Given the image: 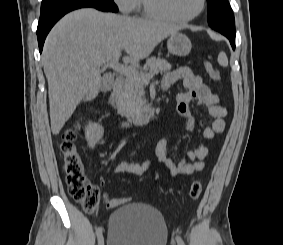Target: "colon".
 <instances>
[{
    "mask_svg": "<svg viewBox=\"0 0 283 245\" xmlns=\"http://www.w3.org/2000/svg\"><path fill=\"white\" fill-rule=\"evenodd\" d=\"M204 65L208 76L213 81L221 79L220 72L211 63L205 62ZM76 140V129H68L64 132L60 145L62 168L68 192L72 199L79 203L86 212H92L99 203V191L85 176L84 164L82 156L78 151ZM202 190L201 182L193 181L189 188L190 198L197 200L201 196ZM103 202L107 208L113 209L123 205L125 200L105 195Z\"/></svg>",
    "mask_w": 283,
    "mask_h": 245,
    "instance_id": "5ec220e1",
    "label": "colon"
}]
</instances>
